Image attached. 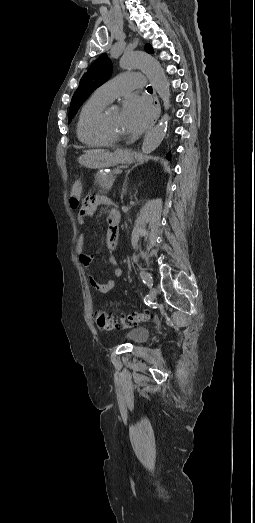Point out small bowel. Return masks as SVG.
<instances>
[{
    "mask_svg": "<svg viewBox=\"0 0 255 523\" xmlns=\"http://www.w3.org/2000/svg\"><path fill=\"white\" fill-rule=\"evenodd\" d=\"M105 201V199L99 197L88 198L87 202L79 209V212L77 214L78 224L84 225L86 218L92 216L95 213L97 206ZM117 238V229L109 228L107 231V257L108 262L113 266H117L118 264L117 259L113 256V252L117 247ZM84 242L85 235L81 232L77 237L76 252L78 254L79 261L81 262V264L89 271L94 256L85 251ZM114 275L115 277H120L122 275V270L116 267L114 270ZM88 280L91 287L102 294L109 293L115 286V281L113 279H109L104 283L98 282L95 279V277L90 273V271L88 275Z\"/></svg>",
    "mask_w": 255,
    "mask_h": 523,
    "instance_id": "1",
    "label": "small bowel"
}]
</instances>
